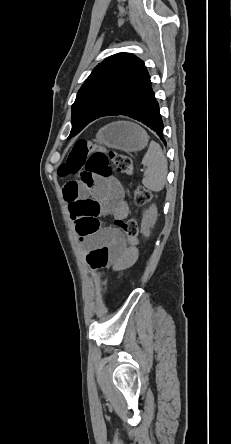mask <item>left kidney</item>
I'll list each match as a JSON object with an SVG mask.
<instances>
[{"mask_svg": "<svg viewBox=\"0 0 231 444\" xmlns=\"http://www.w3.org/2000/svg\"><path fill=\"white\" fill-rule=\"evenodd\" d=\"M157 220V208L152 205L143 215L141 222V233L148 237L150 235V228H153Z\"/></svg>", "mask_w": 231, "mask_h": 444, "instance_id": "left-kidney-1", "label": "left kidney"}]
</instances>
